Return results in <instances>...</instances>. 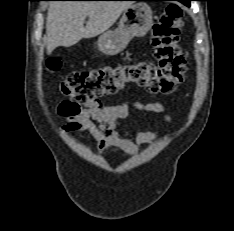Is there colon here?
<instances>
[{"label":"colon","mask_w":234,"mask_h":231,"mask_svg":"<svg viewBox=\"0 0 234 231\" xmlns=\"http://www.w3.org/2000/svg\"><path fill=\"white\" fill-rule=\"evenodd\" d=\"M183 10L170 5L162 12L152 28L151 44L157 63L136 62L105 66L70 73L61 84L66 96L61 109L75 114L90 101L114 95L127 86H137L151 93H170L180 84L186 72V59L179 42ZM61 65V58L47 61L50 70Z\"/></svg>","instance_id":"1"}]
</instances>
